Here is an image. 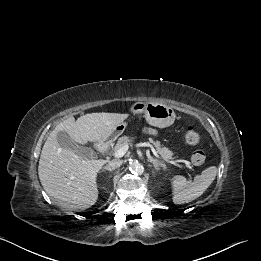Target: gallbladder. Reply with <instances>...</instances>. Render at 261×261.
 Segmentation results:
<instances>
[{
	"mask_svg": "<svg viewBox=\"0 0 261 261\" xmlns=\"http://www.w3.org/2000/svg\"><path fill=\"white\" fill-rule=\"evenodd\" d=\"M57 141L64 149H70L82 158H89L93 155V150L89 147L79 146L65 131L57 133Z\"/></svg>",
	"mask_w": 261,
	"mask_h": 261,
	"instance_id": "obj_1",
	"label": "gallbladder"
}]
</instances>
